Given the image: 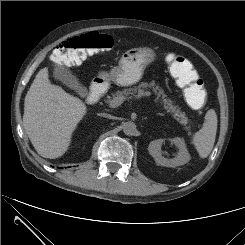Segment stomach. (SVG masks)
<instances>
[{"label": "stomach", "mask_w": 245, "mask_h": 245, "mask_svg": "<svg viewBox=\"0 0 245 245\" xmlns=\"http://www.w3.org/2000/svg\"><path fill=\"white\" fill-rule=\"evenodd\" d=\"M155 59L156 54L149 47L132 48L122 54L118 66L110 72H100L99 77L119 86H130L142 78L145 68Z\"/></svg>", "instance_id": "1"}]
</instances>
